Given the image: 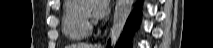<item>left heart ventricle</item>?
Instances as JSON below:
<instances>
[{
    "mask_svg": "<svg viewBox=\"0 0 213 48\" xmlns=\"http://www.w3.org/2000/svg\"><path fill=\"white\" fill-rule=\"evenodd\" d=\"M84 10L85 12L92 14V10H93V3L89 2L87 4L84 5Z\"/></svg>",
    "mask_w": 213,
    "mask_h": 48,
    "instance_id": "obj_1",
    "label": "left heart ventricle"
}]
</instances>
